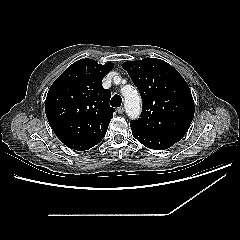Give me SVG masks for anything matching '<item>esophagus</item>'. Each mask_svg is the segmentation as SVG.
I'll return each mask as SVG.
<instances>
[{
  "instance_id": "1",
  "label": "esophagus",
  "mask_w": 240,
  "mask_h": 240,
  "mask_svg": "<svg viewBox=\"0 0 240 240\" xmlns=\"http://www.w3.org/2000/svg\"><path fill=\"white\" fill-rule=\"evenodd\" d=\"M117 112H118L119 114H122V113L124 112V107H123V106L119 107V108L117 109Z\"/></svg>"
}]
</instances>
